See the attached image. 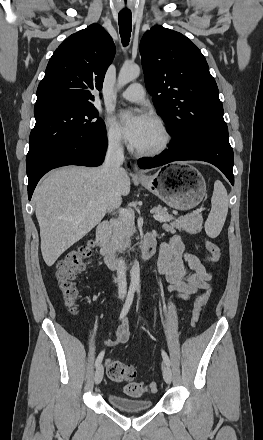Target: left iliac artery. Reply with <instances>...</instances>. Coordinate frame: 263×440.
<instances>
[{
  "instance_id": "44dca946",
  "label": "left iliac artery",
  "mask_w": 263,
  "mask_h": 440,
  "mask_svg": "<svg viewBox=\"0 0 263 440\" xmlns=\"http://www.w3.org/2000/svg\"><path fill=\"white\" fill-rule=\"evenodd\" d=\"M138 292H139V294H140V291H139V290H138ZM162 357H163L164 362H165L167 365H170L169 357H168V355L166 354V352L163 351V350H162Z\"/></svg>"
}]
</instances>
